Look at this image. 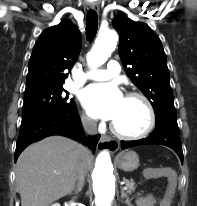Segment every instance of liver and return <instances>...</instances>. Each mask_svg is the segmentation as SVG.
Segmentation results:
<instances>
[{
	"label": "liver",
	"instance_id": "obj_1",
	"mask_svg": "<svg viewBox=\"0 0 197 206\" xmlns=\"http://www.w3.org/2000/svg\"><path fill=\"white\" fill-rule=\"evenodd\" d=\"M82 161L90 169L93 155L66 137L50 136L27 147L15 171L21 206H49L71 194Z\"/></svg>",
	"mask_w": 197,
	"mask_h": 206
}]
</instances>
